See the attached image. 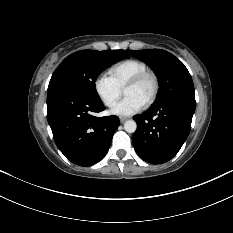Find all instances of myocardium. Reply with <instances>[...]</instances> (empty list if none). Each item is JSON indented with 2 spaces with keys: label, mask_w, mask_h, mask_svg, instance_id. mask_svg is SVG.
Here are the masks:
<instances>
[{
  "label": "myocardium",
  "mask_w": 233,
  "mask_h": 233,
  "mask_svg": "<svg viewBox=\"0 0 233 233\" xmlns=\"http://www.w3.org/2000/svg\"><path fill=\"white\" fill-rule=\"evenodd\" d=\"M147 79H151L153 82V90L147 101L144 103L145 106L151 105L157 98L160 90V82L158 76L150 70H146L144 72H141L134 76L132 79H130L126 85L124 86V90L129 87H134L142 82H144Z\"/></svg>",
  "instance_id": "myocardium-1"
}]
</instances>
